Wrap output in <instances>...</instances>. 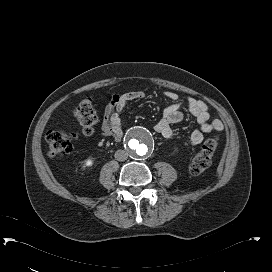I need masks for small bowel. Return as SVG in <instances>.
<instances>
[{"label":"small bowel","instance_id":"1","mask_svg":"<svg viewBox=\"0 0 272 272\" xmlns=\"http://www.w3.org/2000/svg\"><path fill=\"white\" fill-rule=\"evenodd\" d=\"M163 96L173 101V104L164 109L162 118L155 125V131L162 137L169 138L172 135V125L183 121L184 115L180 110L183 104H186L189 113L200 125V128L191 133L190 144L198 145L203 141L205 134L219 132L223 129V123L219 119L210 121L208 106L204 101L194 97H188L185 101H182L176 93L170 91L165 92ZM143 98H145L143 91L113 95L105 108L102 125L103 134L105 136H114L116 141H120L123 137L120 112L128 102Z\"/></svg>","mask_w":272,"mask_h":272}]
</instances>
